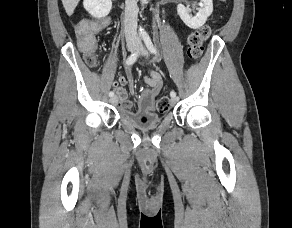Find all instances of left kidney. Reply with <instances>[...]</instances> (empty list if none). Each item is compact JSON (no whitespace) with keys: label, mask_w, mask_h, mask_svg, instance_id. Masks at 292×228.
Instances as JSON below:
<instances>
[{"label":"left kidney","mask_w":292,"mask_h":228,"mask_svg":"<svg viewBox=\"0 0 292 228\" xmlns=\"http://www.w3.org/2000/svg\"><path fill=\"white\" fill-rule=\"evenodd\" d=\"M200 8L195 16H192L188 7L183 4H178L177 12L182 21L191 29H198L203 26L207 18L213 12V1L212 0H200Z\"/></svg>","instance_id":"obj_1"}]
</instances>
